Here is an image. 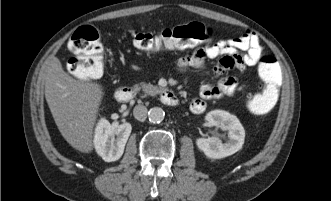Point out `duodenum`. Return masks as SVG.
Listing matches in <instances>:
<instances>
[{
    "instance_id": "duodenum-1",
    "label": "duodenum",
    "mask_w": 331,
    "mask_h": 201,
    "mask_svg": "<svg viewBox=\"0 0 331 201\" xmlns=\"http://www.w3.org/2000/svg\"><path fill=\"white\" fill-rule=\"evenodd\" d=\"M135 96V89L132 86L122 85L115 91L114 97L118 102H127ZM161 101L168 106L178 104V98L172 91L164 89L160 93Z\"/></svg>"
}]
</instances>
